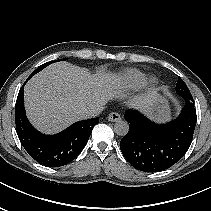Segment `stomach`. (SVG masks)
<instances>
[{"instance_id": "stomach-1", "label": "stomach", "mask_w": 211, "mask_h": 211, "mask_svg": "<svg viewBox=\"0 0 211 211\" xmlns=\"http://www.w3.org/2000/svg\"><path fill=\"white\" fill-rule=\"evenodd\" d=\"M148 115L158 121H164L170 117V109L165 97L159 93L155 94L153 104L148 110Z\"/></svg>"}]
</instances>
